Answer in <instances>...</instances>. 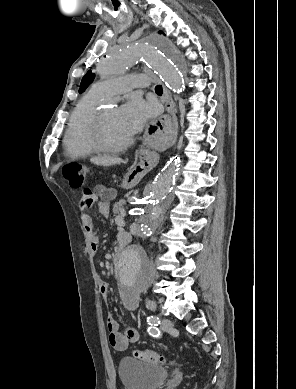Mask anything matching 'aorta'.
<instances>
[{"label": "aorta", "instance_id": "1", "mask_svg": "<svg viewBox=\"0 0 296 389\" xmlns=\"http://www.w3.org/2000/svg\"><path fill=\"white\" fill-rule=\"evenodd\" d=\"M135 62L151 66L174 92L184 90L185 63L177 48L165 38H151L126 44L103 58L97 67L101 78L118 76ZM179 169V159L170 160L155 178L140 225V238L152 233L164 218L172 201V192ZM155 268L141 242L128 246L119 262V281L124 290L140 293L153 283Z\"/></svg>", "mask_w": 296, "mask_h": 389}]
</instances>
